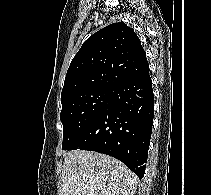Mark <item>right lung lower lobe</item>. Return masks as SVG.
Instances as JSON below:
<instances>
[{
    "instance_id": "obj_1",
    "label": "right lung lower lobe",
    "mask_w": 211,
    "mask_h": 195,
    "mask_svg": "<svg viewBox=\"0 0 211 195\" xmlns=\"http://www.w3.org/2000/svg\"><path fill=\"white\" fill-rule=\"evenodd\" d=\"M153 98L149 72L115 85L105 108L68 150L110 155L141 179L152 132Z\"/></svg>"
}]
</instances>
